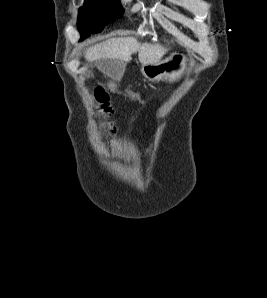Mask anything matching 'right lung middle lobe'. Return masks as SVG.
<instances>
[{"mask_svg":"<svg viewBox=\"0 0 267 298\" xmlns=\"http://www.w3.org/2000/svg\"><path fill=\"white\" fill-rule=\"evenodd\" d=\"M123 14L119 0H85L79 10L78 29L81 40L97 33L116 18Z\"/></svg>","mask_w":267,"mask_h":298,"instance_id":"obj_1","label":"right lung middle lobe"}]
</instances>
